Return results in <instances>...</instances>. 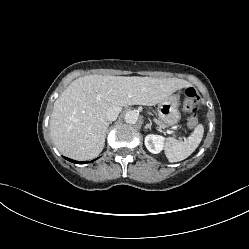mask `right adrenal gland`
<instances>
[{
	"mask_svg": "<svg viewBox=\"0 0 249 249\" xmlns=\"http://www.w3.org/2000/svg\"><path fill=\"white\" fill-rule=\"evenodd\" d=\"M111 123H112V122H109V123L107 124V130H108V128H109V125H110ZM107 130H106V131H107Z\"/></svg>",
	"mask_w": 249,
	"mask_h": 249,
	"instance_id": "1",
	"label": "right adrenal gland"
}]
</instances>
